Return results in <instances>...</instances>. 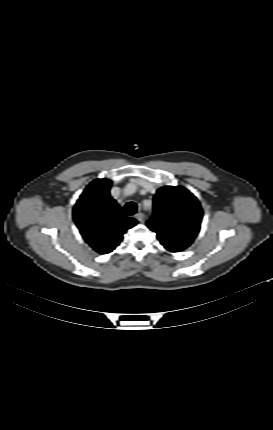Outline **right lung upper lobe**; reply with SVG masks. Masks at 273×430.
Wrapping results in <instances>:
<instances>
[{"instance_id":"right-lung-upper-lobe-1","label":"right lung upper lobe","mask_w":273,"mask_h":430,"mask_svg":"<svg viewBox=\"0 0 273 430\" xmlns=\"http://www.w3.org/2000/svg\"><path fill=\"white\" fill-rule=\"evenodd\" d=\"M111 181L96 179L77 200L73 209L75 224L85 241L98 253L107 254L121 242L127 229L137 224L110 196Z\"/></svg>"}]
</instances>
